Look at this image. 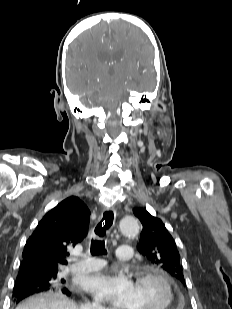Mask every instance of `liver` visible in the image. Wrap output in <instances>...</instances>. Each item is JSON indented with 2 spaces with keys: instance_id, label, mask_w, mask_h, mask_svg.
I'll return each instance as SVG.
<instances>
[{
  "instance_id": "obj_1",
  "label": "liver",
  "mask_w": 232,
  "mask_h": 309,
  "mask_svg": "<svg viewBox=\"0 0 232 309\" xmlns=\"http://www.w3.org/2000/svg\"><path fill=\"white\" fill-rule=\"evenodd\" d=\"M16 309H79L61 292L41 293L27 298Z\"/></svg>"
}]
</instances>
